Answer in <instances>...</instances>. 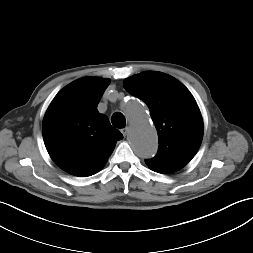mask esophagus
I'll return each instance as SVG.
<instances>
[{"label":"esophagus","mask_w":253,"mask_h":253,"mask_svg":"<svg viewBox=\"0 0 253 253\" xmlns=\"http://www.w3.org/2000/svg\"><path fill=\"white\" fill-rule=\"evenodd\" d=\"M128 131H129V128H128V127H125V128H123V129L121 130V132H122V134H123L124 136L127 135Z\"/></svg>","instance_id":"34e87169"}]
</instances>
